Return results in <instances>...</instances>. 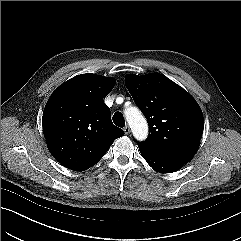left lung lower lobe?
I'll return each mask as SVG.
<instances>
[{"label": "left lung lower lobe", "mask_w": 241, "mask_h": 241, "mask_svg": "<svg viewBox=\"0 0 241 241\" xmlns=\"http://www.w3.org/2000/svg\"><path fill=\"white\" fill-rule=\"evenodd\" d=\"M142 157L157 172L170 173L179 170L184 164L162 158L139 146Z\"/></svg>", "instance_id": "left-lung-lower-lobe-1"}]
</instances>
